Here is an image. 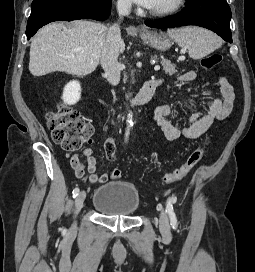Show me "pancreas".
Wrapping results in <instances>:
<instances>
[{
	"label": "pancreas",
	"instance_id": "cf45deb5",
	"mask_svg": "<svg viewBox=\"0 0 255 272\" xmlns=\"http://www.w3.org/2000/svg\"><path fill=\"white\" fill-rule=\"evenodd\" d=\"M161 63L165 74L172 76L177 72L176 66L172 64L168 59H162Z\"/></svg>",
	"mask_w": 255,
	"mask_h": 272
}]
</instances>
